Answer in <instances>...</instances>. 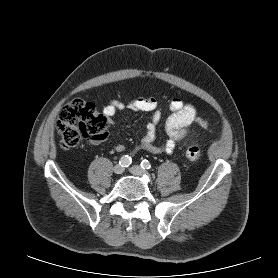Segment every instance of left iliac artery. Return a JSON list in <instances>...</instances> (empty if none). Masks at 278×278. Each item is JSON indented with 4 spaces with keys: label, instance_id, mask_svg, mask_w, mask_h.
<instances>
[{
    "label": "left iliac artery",
    "instance_id": "1",
    "mask_svg": "<svg viewBox=\"0 0 278 278\" xmlns=\"http://www.w3.org/2000/svg\"><path fill=\"white\" fill-rule=\"evenodd\" d=\"M141 167L143 168V169H150L151 168V164H150V162L148 161V160H146V159H143L142 161H141Z\"/></svg>",
    "mask_w": 278,
    "mask_h": 278
}]
</instances>
